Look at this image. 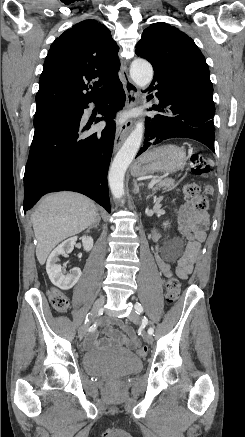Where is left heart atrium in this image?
Returning <instances> with one entry per match:
<instances>
[{"label": "left heart atrium", "mask_w": 245, "mask_h": 437, "mask_svg": "<svg viewBox=\"0 0 245 437\" xmlns=\"http://www.w3.org/2000/svg\"><path fill=\"white\" fill-rule=\"evenodd\" d=\"M122 121V119H119V122H121Z\"/></svg>", "instance_id": "39dd6f15"}]
</instances>
